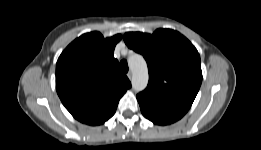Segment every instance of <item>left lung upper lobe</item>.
Returning <instances> with one entry per match:
<instances>
[{"label": "left lung upper lobe", "instance_id": "obj_1", "mask_svg": "<svg viewBox=\"0 0 261 150\" xmlns=\"http://www.w3.org/2000/svg\"><path fill=\"white\" fill-rule=\"evenodd\" d=\"M124 41L148 65V86L137 96L186 113L202 82L200 55L192 43L171 29H157L153 34L128 32Z\"/></svg>", "mask_w": 261, "mask_h": 150}]
</instances>
